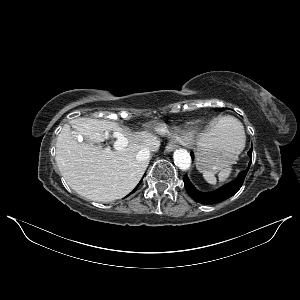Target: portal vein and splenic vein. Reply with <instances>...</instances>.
I'll list each match as a JSON object with an SVG mask.
<instances>
[{"label":"portal vein and splenic vein","instance_id":"obj_1","mask_svg":"<svg viewBox=\"0 0 300 300\" xmlns=\"http://www.w3.org/2000/svg\"><path fill=\"white\" fill-rule=\"evenodd\" d=\"M114 137L117 138V140L114 143L115 149H123L124 147L127 146L128 141L122 134L115 132Z\"/></svg>","mask_w":300,"mask_h":300}]
</instances>
